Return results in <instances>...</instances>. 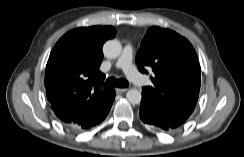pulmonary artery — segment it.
<instances>
[{
    "instance_id": "1",
    "label": "pulmonary artery",
    "mask_w": 244,
    "mask_h": 157,
    "mask_svg": "<svg viewBox=\"0 0 244 157\" xmlns=\"http://www.w3.org/2000/svg\"><path fill=\"white\" fill-rule=\"evenodd\" d=\"M133 47L131 44H126L123 48L122 54L117 61V67L121 68L126 76L135 84L139 86L147 85L148 79L141 75L132 63Z\"/></svg>"
}]
</instances>
